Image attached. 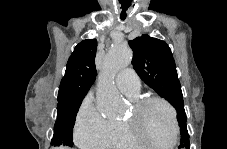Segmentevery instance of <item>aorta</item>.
I'll use <instances>...</instances> for the list:
<instances>
[{
	"instance_id": "obj_1",
	"label": "aorta",
	"mask_w": 227,
	"mask_h": 149,
	"mask_svg": "<svg viewBox=\"0 0 227 149\" xmlns=\"http://www.w3.org/2000/svg\"><path fill=\"white\" fill-rule=\"evenodd\" d=\"M132 61V51L123 43H115L108 51L99 75L96 103L99 112L106 117L121 113L123 100L115 86V76Z\"/></svg>"
}]
</instances>
